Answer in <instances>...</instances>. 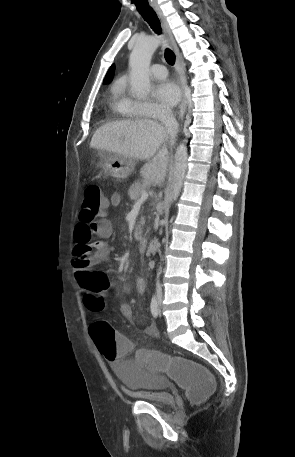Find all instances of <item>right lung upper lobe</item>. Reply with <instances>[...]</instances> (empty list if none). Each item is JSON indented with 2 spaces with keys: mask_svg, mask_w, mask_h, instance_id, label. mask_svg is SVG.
<instances>
[{
  "mask_svg": "<svg viewBox=\"0 0 295 457\" xmlns=\"http://www.w3.org/2000/svg\"><path fill=\"white\" fill-rule=\"evenodd\" d=\"M114 69H115V66L112 65L110 67V69L108 70L105 78H104V81H103L104 84H106V83H108V82H110L112 80V77H113V74H114Z\"/></svg>",
  "mask_w": 295,
  "mask_h": 457,
  "instance_id": "1",
  "label": "right lung upper lobe"
}]
</instances>
